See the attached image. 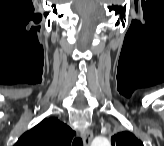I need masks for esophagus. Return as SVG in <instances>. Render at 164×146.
I'll list each match as a JSON object with an SVG mask.
<instances>
[{
	"label": "esophagus",
	"instance_id": "esophagus-1",
	"mask_svg": "<svg viewBox=\"0 0 164 146\" xmlns=\"http://www.w3.org/2000/svg\"><path fill=\"white\" fill-rule=\"evenodd\" d=\"M82 138H83V144L84 146H90V143L93 139V132L90 129L85 130L82 133Z\"/></svg>",
	"mask_w": 164,
	"mask_h": 146
}]
</instances>
